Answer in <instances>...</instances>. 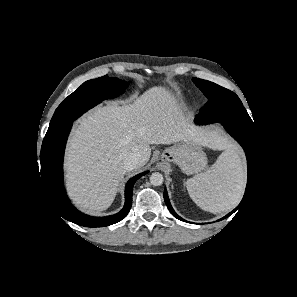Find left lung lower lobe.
Listing matches in <instances>:
<instances>
[{"label":"left lung lower lobe","mask_w":297,"mask_h":297,"mask_svg":"<svg viewBox=\"0 0 297 297\" xmlns=\"http://www.w3.org/2000/svg\"><path fill=\"white\" fill-rule=\"evenodd\" d=\"M221 123L223 124L226 131L236 141H238V143L242 146V148L245 151V154L247 157V163H248V180H247V186H246V190H245L243 199H242L241 203L232 212H230L228 215H226L225 217L222 218V219H224V218L230 216L231 214H233L234 212H236L239 208H241L251 192V189H252V186L254 183V172H256L257 164H258V137L256 138V133L254 130H251L244 126L234 124V123L228 122V121H224ZM198 124H200V123H198ZM164 200H165V203H166L169 211L177 219L187 222L186 220L179 217L173 210V208L170 204L166 189L164 190Z\"/></svg>","instance_id":"0a47b994"}]
</instances>
